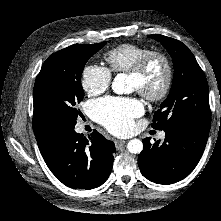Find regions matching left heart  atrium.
Returning a JSON list of instances; mask_svg holds the SVG:
<instances>
[{
  "mask_svg": "<svg viewBox=\"0 0 221 221\" xmlns=\"http://www.w3.org/2000/svg\"><path fill=\"white\" fill-rule=\"evenodd\" d=\"M143 110V104L135 98H104L94 102L92 113L112 133L125 136L132 132L134 118Z\"/></svg>",
  "mask_w": 221,
  "mask_h": 221,
  "instance_id": "obj_1",
  "label": "left heart atrium"
}]
</instances>
